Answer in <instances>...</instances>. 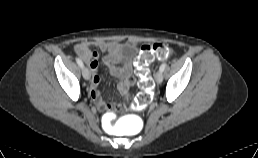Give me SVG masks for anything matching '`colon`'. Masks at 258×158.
Segmentation results:
<instances>
[{
  "label": "colon",
  "mask_w": 258,
  "mask_h": 158,
  "mask_svg": "<svg viewBox=\"0 0 258 158\" xmlns=\"http://www.w3.org/2000/svg\"><path fill=\"white\" fill-rule=\"evenodd\" d=\"M171 49L164 43L145 44L140 47L138 56L135 59L136 73L139 77L140 92L132 106L133 110L146 108L152 100L153 82L149 74V65L154 60H166L171 56Z\"/></svg>",
  "instance_id": "1"
}]
</instances>
